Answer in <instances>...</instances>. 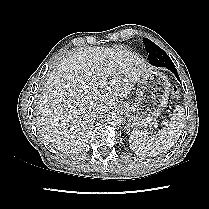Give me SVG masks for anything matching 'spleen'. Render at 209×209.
<instances>
[{
	"mask_svg": "<svg viewBox=\"0 0 209 209\" xmlns=\"http://www.w3.org/2000/svg\"><path fill=\"white\" fill-rule=\"evenodd\" d=\"M185 120L184 108L176 106L170 121L157 134L149 136L146 130L134 129L129 139L131 150L142 157H155L167 152L179 139Z\"/></svg>",
	"mask_w": 209,
	"mask_h": 209,
	"instance_id": "spleen-1",
	"label": "spleen"
}]
</instances>
